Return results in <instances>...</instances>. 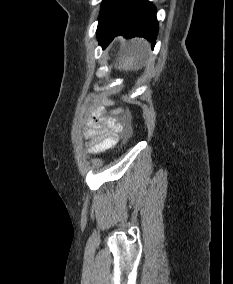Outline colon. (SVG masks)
Instances as JSON below:
<instances>
[{
	"label": "colon",
	"instance_id": "colon-1",
	"mask_svg": "<svg viewBox=\"0 0 233 284\" xmlns=\"http://www.w3.org/2000/svg\"><path fill=\"white\" fill-rule=\"evenodd\" d=\"M114 113L115 114H123V112L121 110H116Z\"/></svg>",
	"mask_w": 233,
	"mask_h": 284
}]
</instances>
